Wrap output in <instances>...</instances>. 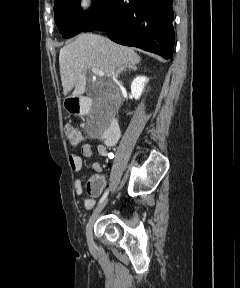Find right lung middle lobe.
I'll use <instances>...</instances> for the list:
<instances>
[{
  "label": "right lung middle lobe",
  "instance_id": "obj_1",
  "mask_svg": "<svg viewBox=\"0 0 240 288\" xmlns=\"http://www.w3.org/2000/svg\"><path fill=\"white\" fill-rule=\"evenodd\" d=\"M109 0H93L89 11H82L80 0H54L56 24L64 38L75 36L87 28L104 11Z\"/></svg>",
  "mask_w": 240,
  "mask_h": 288
}]
</instances>
